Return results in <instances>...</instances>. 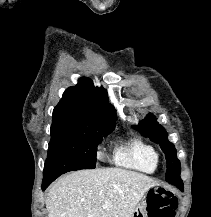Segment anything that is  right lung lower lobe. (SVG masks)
<instances>
[{
  "label": "right lung lower lobe",
  "instance_id": "98d812e1",
  "mask_svg": "<svg viewBox=\"0 0 211 217\" xmlns=\"http://www.w3.org/2000/svg\"><path fill=\"white\" fill-rule=\"evenodd\" d=\"M59 176L60 175H56V176H53V177L43 179L42 190L45 191V189L50 185V183H52Z\"/></svg>",
  "mask_w": 211,
  "mask_h": 217
}]
</instances>
